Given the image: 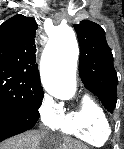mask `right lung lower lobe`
Segmentation results:
<instances>
[{
	"label": "right lung lower lobe",
	"mask_w": 124,
	"mask_h": 149,
	"mask_svg": "<svg viewBox=\"0 0 124 149\" xmlns=\"http://www.w3.org/2000/svg\"><path fill=\"white\" fill-rule=\"evenodd\" d=\"M39 114L0 110V142L31 129L37 122Z\"/></svg>",
	"instance_id": "right-lung-lower-lobe-1"
}]
</instances>
